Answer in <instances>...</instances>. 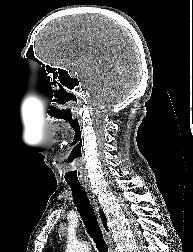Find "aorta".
Instances as JSON below:
<instances>
[{
  "label": "aorta",
  "mask_w": 193,
  "mask_h": 252,
  "mask_svg": "<svg viewBox=\"0 0 193 252\" xmlns=\"http://www.w3.org/2000/svg\"><path fill=\"white\" fill-rule=\"evenodd\" d=\"M89 250L88 244L78 242L77 240H70L65 252H89Z\"/></svg>",
  "instance_id": "obj_1"
}]
</instances>
